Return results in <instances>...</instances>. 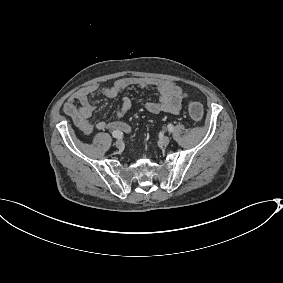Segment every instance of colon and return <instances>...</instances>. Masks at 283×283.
<instances>
[{
  "label": "colon",
  "instance_id": "1",
  "mask_svg": "<svg viewBox=\"0 0 283 283\" xmlns=\"http://www.w3.org/2000/svg\"><path fill=\"white\" fill-rule=\"evenodd\" d=\"M187 109H188L190 117L193 120L199 121L202 119L203 114H204V108L200 102L196 100L189 101L187 105Z\"/></svg>",
  "mask_w": 283,
  "mask_h": 283
}]
</instances>
